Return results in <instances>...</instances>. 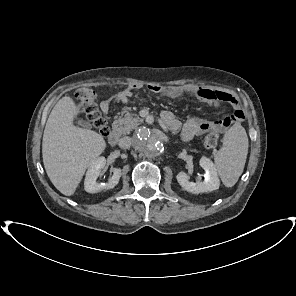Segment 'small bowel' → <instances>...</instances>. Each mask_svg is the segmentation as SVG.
I'll return each instance as SVG.
<instances>
[{"label":"small bowel","mask_w":296,"mask_h":296,"mask_svg":"<svg viewBox=\"0 0 296 296\" xmlns=\"http://www.w3.org/2000/svg\"><path fill=\"white\" fill-rule=\"evenodd\" d=\"M138 88L132 86L126 88L110 99L101 103L102 111L107 112L112 101L127 102L133 95V90ZM152 92L159 93L167 98H177L181 96H192L207 105L219 107L222 103H228L233 108V113L219 120H204L198 117L189 118L182 126L175 115L170 111L162 113V123L171 130L181 128V134L184 140L189 141L194 137L209 131L223 132L234 124L240 123L244 119V113L238 100L230 93L220 90H213L204 87H198L193 84L181 86H159L152 84L148 86Z\"/></svg>","instance_id":"c3829d8e"}]
</instances>
